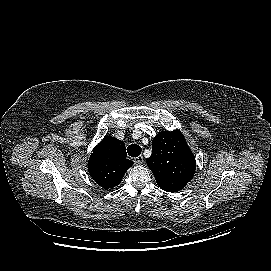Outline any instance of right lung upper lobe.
<instances>
[{
    "label": "right lung upper lobe",
    "mask_w": 271,
    "mask_h": 271,
    "mask_svg": "<svg viewBox=\"0 0 271 271\" xmlns=\"http://www.w3.org/2000/svg\"><path fill=\"white\" fill-rule=\"evenodd\" d=\"M125 143L107 136L93 149L88 161V171L104 189L117 186L133 162L126 158Z\"/></svg>",
    "instance_id": "1"
}]
</instances>
